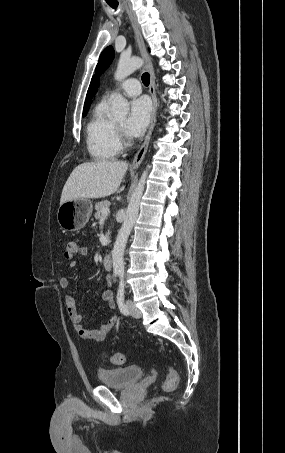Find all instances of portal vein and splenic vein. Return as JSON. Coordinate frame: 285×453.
I'll return each instance as SVG.
<instances>
[{"label":"portal vein and splenic vein","instance_id":"1","mask_svg":"<svg viewBox=\"0 0 285 453\" xmlns=\"http://www.w3.org/2000/svg\"><path fill=\"white\" fill-rule=\"evenodd\" d=\"M108 214H109V209H105V210L102 211V217L103 218L107 217Z\"/></svg>","mask_w":285,"mask_h":453}]
</instances>
